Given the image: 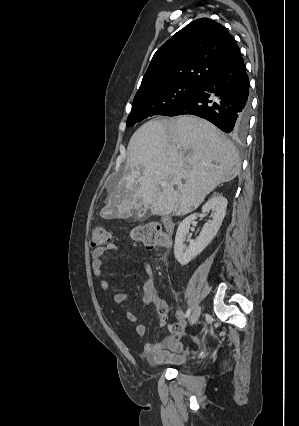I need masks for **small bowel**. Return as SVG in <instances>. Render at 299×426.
<instances>
[{
    "instance_id": "1",
    "label": "small bowel",
    "mask_w": 299,
    "mask_h": 426,
    "mask_svg": "<svg viewBox=\"0 0 299 426\" xmlns=\"http://www.w3.org/2000/svg\"><path fill=\"white\" fill-rule=\"evenodd\" d=\"M119 248L114 243H109L106 247L96 248L91 254V268L94 277L102 278L100 287L107 290L110 287V280L103 278V256L105 253H118ZM145 274L146 281L143 286L144 296L143 303L145 305H154L159 316V325L166 327L170 335L163 341L158 343H147L143 347L142 357L153 364H176L180 365L184 362L183 345L180 337L183 333L185 322L183 320V312H176L177 323L173 324L169 321V307L164 299L160 297L156 290L153 269L150 264H141ZM114 302L123 308H126L127 295L118 292L113 297ZM126 318L129 322L136 324L135 331L137 335L143 336L146 333V326L139 321V317L133 312L126 310Z\"/></svg>"
}]
</instances>
